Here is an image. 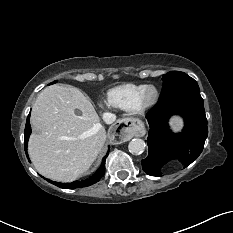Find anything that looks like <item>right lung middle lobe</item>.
Listing matches in <instances>:
<instances>
[{
	"mask_svg": "<svg viewBox=\"0 0 233 233\" xmlns=\"http://www.w3.org/2000/svg\"><path fill=\"white\" fill-rule=\"evenodd\" d=\"M57 81H54V82H52L51 84H54V83H56Z\"/></svg>",
	"mask_w": 233,
	"mask_h": 233,
	"instance_id": "dd1d6c3e",
	"label": "right lung middle lobe"
}]
</instances>
